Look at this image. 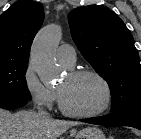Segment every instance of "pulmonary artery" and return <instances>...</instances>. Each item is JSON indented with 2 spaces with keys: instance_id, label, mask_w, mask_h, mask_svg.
<instances>
[{
  "instance_id": "pulmonary-artery-1",
  "label": "pulmonary artery",
  "mask_w": 141,
  "mask_h": 139,
  "mask_svg": "<svg viewBox=\"0 0 141 139\" xmlns=\"http://www.w3.org/2000/svg\"><path fill=\"white\" fill-rule=\"evenodd\" d=\"M56 56L60 63L69 68H72L75 65L76 53L71 45L63 44L59 46Z\"/></svg>"
}]
</instances>
